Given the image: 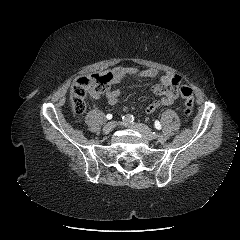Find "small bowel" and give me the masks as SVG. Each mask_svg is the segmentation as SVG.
<instances>
[{
	"label": "small bowel",
	"mask_w": 240,
	"mask_h": 240,
	"mask_svg": "<svg viewBox=\"0 0 240 240\" xmlns=\"http://www.w3.org/2000/svg\"><path fill=\"white\" fill-rule=\"evenodd\" d=\"M112 76L109 82L105 95L110 105H115L118 102L119 90L115 88L117 84L128 79L137 78H154L159 71L156 68L140 69L135 66L131 67H115L109 71ZM181 83V77L171 72L163 74L159 83L153 86L152 92L159 96V100H153L147 107L148 112L155 111L161 105H170L175 102L178 97L176 86ZM176 85V86H175ZM93 97L98 98L99 95L92 94Z\"/></svg>",
	"instance_id": "small-bowel-1"
}]
</instances>
